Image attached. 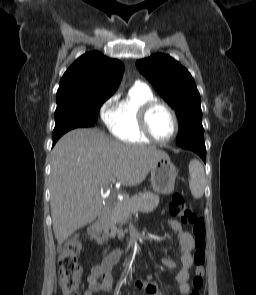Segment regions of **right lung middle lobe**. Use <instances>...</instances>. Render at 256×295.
<instances>
[{
  "instance_id": "right-lung-middle-lobe-1",
  "label": "right lung middle lobe",
  "mask_w": 256,
  "mask_h": 295,
  "mask_svg": "<svg viewBox=\"0 0 256 295\" xmlns=\"http://www.w3.org/2000/svg\"><path fill=\"white\" fill-rule=\"evenodd\" d=\"M107 99L99 98L79 103L57 104L53 135L85 127L90 119L97 121L98 111Z\"/></svg>"
}]
</instances>
